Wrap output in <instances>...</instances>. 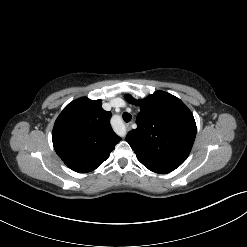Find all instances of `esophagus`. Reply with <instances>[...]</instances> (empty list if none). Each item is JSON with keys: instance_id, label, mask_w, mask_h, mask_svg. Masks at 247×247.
Returning <instances> with one entry per match:
<instances>
[{"instance_id": "34e87169", "label": "esophagus", "mask_w": 247, "mask_h": 247, "mask_svg": "<svg viewBox=\"0 0 247 247\" xmlns=\"http://www.w3.org/2000/svg\"><path fill=\"white\" fill-rule=\"evenodd\" d=\"M125 127H126V129H127V130H129V129H130V124H129V123H128V124H126V126H125Z\"/></svg>"}]
</instances>
